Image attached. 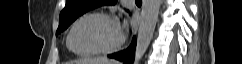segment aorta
I'll return each mask as SVG.
<instances>
[{"instance_id": "obj_1", "label": "aorta", "mask_w": 242, "mask_h": 64, "mask_svg": "<svg viewBox=\"0 0 242 64\" xmlns=\"http://www.w3.org/2000/svg\"><path fill=\"white\" fill-rule=\"evenodd\" d=\"M161 0H144L141 13L134 63L139 64L153 37Z\"/></svg>"}]
</instances>
